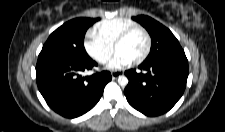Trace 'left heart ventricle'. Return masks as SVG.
<instances>
[{
  "instance_id": "b2bd125f",
  "label": "left heart ventricle",
  "mask_w": 225,
  "mask_h": 132,
  "mask_svg": "<svg viewBox=\"0 0 225 132\" xmlns=\"http://www.w3.org/2000/svg\"><path fill=\"white\" fill-rule=\"evenodd\" d=\"M146 48V38L140 31L131 34L126 41H124L116 52L125 54L131 61L139 58Z\"/></svg>"
}]
</instances>
